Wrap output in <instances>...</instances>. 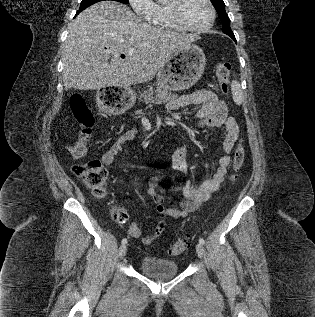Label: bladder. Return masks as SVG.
<instances>
[{
	"instance_id": "obj_1",
	"label": "bladder",
	"mask_w": 315,
	"mask_h": 317,
	"mask_svg": "<svg viewBox=\"0 0 315 317\" xmlns=\"http://www.w3.org/2000/svg\"><path fill=\"white\" fill-rule=\"evenodd\" d=\"M139 270L152 278L167 279L176 276L179 267L176 262L171 260L145 256L139 263Z\"/></svg>"
}]
</instances>
